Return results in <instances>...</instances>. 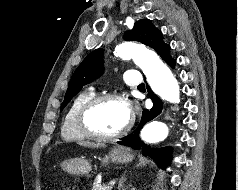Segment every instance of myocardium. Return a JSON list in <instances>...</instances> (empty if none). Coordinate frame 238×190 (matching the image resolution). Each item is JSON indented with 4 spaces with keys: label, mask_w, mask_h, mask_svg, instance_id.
I'll use <instances>...</instances> for the list:
<instances>
[{
    "label": "myocardium",
    "mask_w": 238,
    "mask_h": 190,
    "mask_svg": "<svg viewBox=\"0 0 238 190\" xmlns=\"http://www.w3.org/2000/svg\"><path fill=\"white\" fill-rule=\"evenodd\" d=\"M109 100H118L123 102L128 108L129 119L126 125L118 132L113 134H104L92 128V126L89 123V117L91 113L100 104ZM133 123H134V113L128 99L124 95L115 93V92H109V93H104L101 95L94 96L82 106L77 116V125L81 133L87 138L97 140V141H112V140L119 139L130 131V129L133 126Z\"/></svg>",
    "instance_id": "myocardium-1"
}]
</instances>
